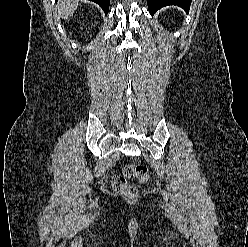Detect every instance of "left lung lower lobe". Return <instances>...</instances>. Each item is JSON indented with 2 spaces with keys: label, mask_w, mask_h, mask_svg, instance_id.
Segmentation results:
<instances>
[{
  "label": "left lung lower lobe",
  "mask_w": 248,
  "mask_h": 247,
  "mask_svg": "<svg viewBox=\"0 0 248 247\" xmlns=\"http://www.w3.org/2000/svg\"><path fill=\"white\" fill-rule=\"evenodd\" d=\"M148 10L154 14L158 9L167 5H177L188 11L190 8L191 0H147Z\"/></svg>",
  "instance_id": "obj_1"
}]
</instances>
